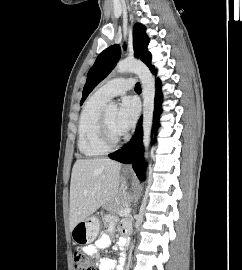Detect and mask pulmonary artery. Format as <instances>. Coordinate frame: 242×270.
Segmentation results:
<instances>
[{
	"instance_id": "1",
	"label": "pulmonary artery",
	"mask_w": 242,
	"mask_h": 270,
	"mask_svg": "<svg viewBox=\"0 0 242 270\" xmlns=\"http://www.w3.org/2000/svg\"><path fill=\"white\" fill-rule=\"evenodd\" d=\"M133 87L134 79L116 78L99 87L94 95L102 100L108 101L115 96L125 94Z\"/></svg>"
}]
</instances>
